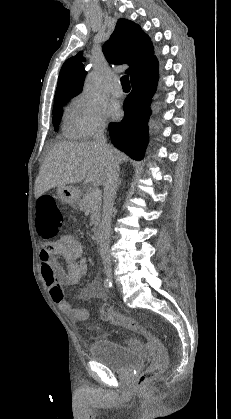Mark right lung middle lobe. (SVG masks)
<instances>
[{"label":"right lung middle lobe","instance_id":"dd1d6c3e","mask_svg":"<svg viewBox=\"0 0 231 419\" xmlns=\"http://www.w3.org/2000/svg\"><path fill=\"white\" fill-rule=\"evenodd\" d=\"M69 99L70 98L59 100V101H56L54 103L53 124H54L55 129L59 126V123L61 121V117H62V113H63L62 106H64L69 101Z\"/></svg>","mask_w":231,"mask_h":419}]
</instances>
